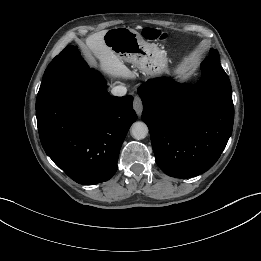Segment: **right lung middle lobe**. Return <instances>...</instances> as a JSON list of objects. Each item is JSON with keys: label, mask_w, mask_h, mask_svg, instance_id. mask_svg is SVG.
<instances>
[{"label": "right lung middle lobe", "mask_w": 261, "mask_h": 261, "mask_svg": "<svg viewBox=\"0 0 261 261\" xmlns=\"http://www.w3.org/2000/svg\"><path fill=\"white\" fill-rule=\"evenodd\" d=\"M88 66L81 58L76 46H67L48 65L37 95L36 103L43 100L66 79L82 72Z\"/></svg>", "instance_id": "1"}]
</instances>
